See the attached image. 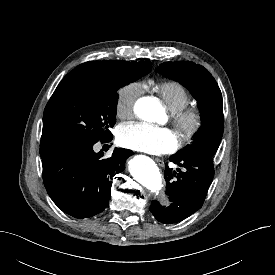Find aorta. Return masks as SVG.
I'll return each mask as SVG.
<instances>
[{"mask_svg":"<svg viewBox=\"0 0 275 275\" xmlns=\"http://www.w3.org/2000/svg\"><path fill=\"white\" fill-rule=\"evenodd\" d=\"M135 111L139 117L147 121H155L162 115L160 103L152 97H144L137 101ZM130 173L141 185L153 193L162 188V176L157 164L146 157H135L130 163Z\"/></svg>","mask_w":275,"mask_h":275,"instance_id":"762f6f07","label":"aorta"}]
</instances>
